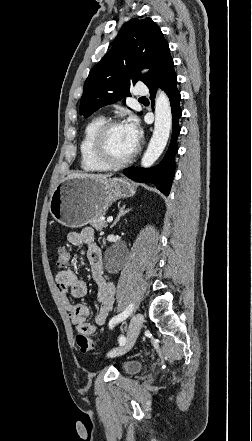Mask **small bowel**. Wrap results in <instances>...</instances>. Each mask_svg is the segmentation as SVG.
Instances as JSON below:
<instances>
[{
  "instance_id": "obj_1",
  "label": "small bowel",
  "mask_w": 252,
  "mask_h": 441,
  "mask_svg": "<svg viewBox=\"0 0 252 441\" xmlns=\"http://www.w3.org/2000/svg\"><path fill=\"white\" fill-rule=\"evenodd\" d=\"M70 244L74 246L87 245V257L91 267V274L97 284L98 312L95 316V324L87 322L89 309L83 304H75L73 298H81L87 293V284L74 271L70 269L60 270L55 277L57 289L62 303L67 310L71 322L77 331L91 335L96 330V325H103L114 305L115 285L104 272L102 252L95 243V231L87 227L81 231L70 232L67 236Z\"/></svg>"
}]
</instances>
